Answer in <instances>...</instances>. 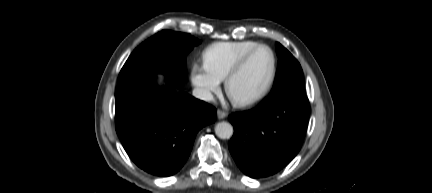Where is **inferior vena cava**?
Instances as JSON below:
<instances>
[{
	"instance_id": "602c4592",
	"label": "inferior vena cava",
	"mask_w": 432,
	"mask_h": 193,
	"mask_svg": "<svg viewBox=\"0 0 432 193\" xmlns=\"http://www.w3.org/2000/svg\"><path fill=\"white\" fill-rule=\"evenodd\" d=\"M193 96L204 101H213L214 97L212 93L204 88H195L193 90Z\"/></svg>"
}]
</instances>
